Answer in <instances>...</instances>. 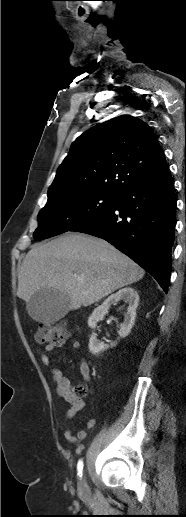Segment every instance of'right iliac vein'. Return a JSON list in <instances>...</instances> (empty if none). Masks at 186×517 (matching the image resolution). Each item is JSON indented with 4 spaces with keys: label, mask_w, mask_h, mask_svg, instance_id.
I'll return each instance as SVG.
<instances>
[{
    "label": "right iliac vein",
    "mask_w": 186,
    "mask_h": 517,
    "mask_svg": "<svg viewBox=\"0 0 186 517\" xmlns=\"http://www.w3.org/2000/svg\"><path fill=\"white\" fill-rule=\"evenodd\" d=\"M78 490L80 493H85V491H86V483L83 478L79 481Z\"/></svg>",
    "instance_id": "1"
}]
</instances>
